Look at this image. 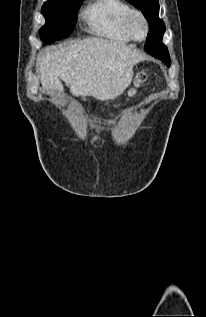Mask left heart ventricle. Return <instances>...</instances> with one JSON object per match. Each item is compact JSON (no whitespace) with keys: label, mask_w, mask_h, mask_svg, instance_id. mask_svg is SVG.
<instances>
[{"label":"left heart ventricle","mask_w":206,"mask_h":317,"mask_svg":"<svg viewBox=\"0 0 206 317\" xmlns=\"http://www.w3.org/2000/svg\"><path fill=\"white\" fill-rule=\"evenodd\" d=\"M133 30L137 37H143L145 33L144 25L140 19L136 18L133 22Z\"/></svg>","instance_id":"b2bd125f"}]
</instances>
